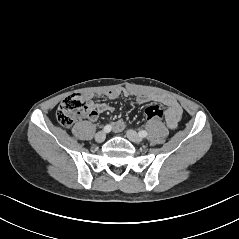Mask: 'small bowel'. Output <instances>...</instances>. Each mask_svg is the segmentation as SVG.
Listing matches in <instances>:
<instances>
[{"mask_svg":"<svg viewBox=\"0 0 239 239\" xmlns=\"http://www.w3.org/2000/svg\"><path fill=\"white\" fill-rule=\"evenodd\" d=\"M125 96H134L138 103H146V102H159L166 106L165 113V122L170 129H174L177 127L178 122L181 119L182 109L176 99L168 95L162 94H133L131 92L125 91L122 92L118 89L109 90L105 93V95L109 99H118L121 95ZM114 107L112 105L106 103H98L95 106V111L92 115L89 116L91 120H96L98 115L105 112H113ZM113 130L115 132H120L125 128L124 120H117L112 123Z\"/></svg>","mask_w":239,"mask_h":239,"instance_id":"c3829d8e","label":"small bowel"}]
</instances>
